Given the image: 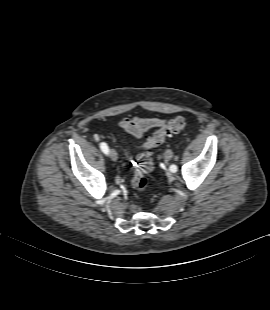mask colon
Instances as JSON below:
<instances>
[{
  "label": "colon",
  "mask_w": 270,
  "mask_h": 310,
  "mask_svg": "<svg viewBox=\"0 0 270 310\" xmlns=\"http://www.w3.org/2000/svg\"><path fill=\"white\" fill-rule=\"evenodd\" d=\"M186 125V118L183 116H177L161 127L144 143L141 151L137 154L135 159L134 174L131 180V185L135 190L143 192L147 188V175L153 170V161L150 150L161 145L167 136L182 131Z\"/></svg>",
  "instance_id": "colon-1"
}]
</instances>
